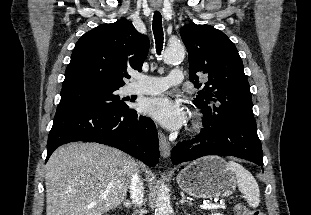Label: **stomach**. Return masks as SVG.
<instances>
[{
  "instance_id": "stomach-1",
  "label": "stomach",
  "mask_w": 311,
  "mask_h": 215,
  "mask_svg": "<svg viewBox=\"0 0 311 215\" xmlns=\"http://www.w3.org/2000/svg\"><path fill=\"white\" fill-rule=\"evenodd\" d=\"M180 188L199 199H216L231 195L236 189V176L226 161L218 156L196 160L177 175Z\"/></svg>"
}]
</instances>
